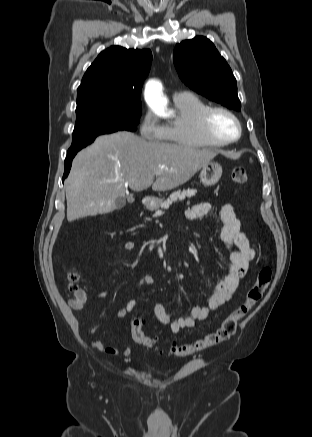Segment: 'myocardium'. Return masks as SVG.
Segmentation results:
<instances>
[{
    "mask_svg": "<svg viewBox=\"0 0 312 437\" xmlns=\"http://www.w3.org/2000/svg\"><path fill=\"white\" fill-rule=\"evenodd\" d=\"M217 112L224 113V114L230 116L234 120V122L236 123V126H237V134L235 137L223 140V139L216 137L212 133V131L210 129V119ZM198 125H199V130H200L202 136L208 142L212 143L213 145H217V146H225V145L232 144V143L236 142L237 140H239L241 135H242V125H241L239 118L231 110H229L228 108L223 107V106H211V107H208L205 110H203L201 112V114L199 115Z\"/></svg>",
    "mask_w": 312,
    "mask_h": 437,
    "instance_id": "1",
    "label": "myocardium"
}]
</instances>
